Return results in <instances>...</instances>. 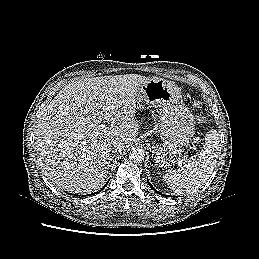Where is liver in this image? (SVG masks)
<instances>
[{
    "label": "liver",
    "instance_id": "liver-1",
    "mask_svg": "<svg viewBox=\"0 0 259 259\" xmlns=\"http://www.w3.org/2000/svg\"><path fill=\"white\" fill-rule=\"evenodd\" d=\"M151 79L137 74L101 76L62 88L35 129L43 174L70 192L98 190L108 174L111 142H121L122 151L138 134L136 93Z\"/></svg>",
    "mask_w": 259,
    "mask_h": 259
}]
</instances>
